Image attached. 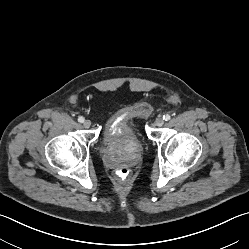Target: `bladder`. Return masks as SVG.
Masks as SVG:
<instances>
[{
	"instance_id": "bladder-1",
	"label": "bladder",
	"mask_w": 249,
	"mask_h": 249,
	"mask_svg": "<svg viewBox=\"0 0 249 249\" xmlns=\"http://www.w3.org/2000/svg\"><path fill=\"white\" fill-rule=\"evenodd\" d=\"M149 112L150 108L146 103L136 102L111 116L105 124L104 146H116L123 140L133 141L137 147H142L143 142L135 126V121L147 118Z\"/></svg>"
}]
</instances>
